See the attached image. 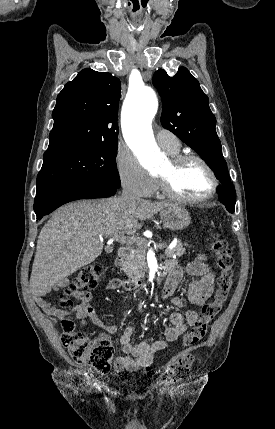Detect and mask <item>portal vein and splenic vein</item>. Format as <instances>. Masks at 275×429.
Here are the masks:
<instances>
[{"label": "portal vein and splenic vein", "mask_w": 275, "mask_h": 429, "mask_svg": "<svg viewBox=\"0 0 275 429\" xmlns=\"http://www.w3.org/2000/svg\"><path fill=\"white\" fill-rule=\"evenodd\" d=\"M110 240L111 241L116 240L122 244H129V245L143 241V240H137L136 238H133V237L128 238V237L124 236V234H116L114 236H111ZM155 247L162 248V247H164V244H156ZM168 248H172V245H170Z\"/></svg>", "instance_id": "18ae733b"}]
</instances>
